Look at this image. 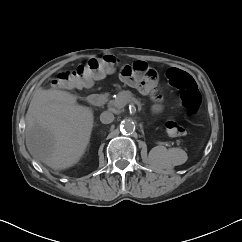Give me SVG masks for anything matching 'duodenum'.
<instances>
[{
    "label": "duodenum",
    "instance_id": "duodenum-1",
    "mask_svg": "<svg viewBox=\"0 0 242 242\" xmlns=\"http://www.w3.org/2000/svg\"><path fill=\"white\" fill-rule=\"evenodd\" d=\"M105 97L102 94H91L88 97V102L93 106H100L103 104Z\"/></svg>",
    "mask_w": 242,
    "mask_h": 242
}]
</instances>
